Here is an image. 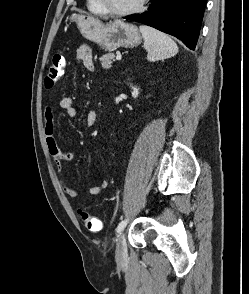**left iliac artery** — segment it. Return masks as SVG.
I'll use <instances>...</instances> for the list:
<instances>
[{
    "instance_id": "obj_1",
    "label": "left iliac artery",
    "mask_w": 249,
    "mask_h": 294,
    "mask_svg": "<svg viewBox=\"0 0 249 294\" xmlns=\"http://www.w3.org/2000/svg\"><path fill=\"white\" fill-rule=\"evenodd\" d=\"M127 222H128V219H125V220L121 221L119 223V225L117 226V228H116V232L121 233L123 231V229L125 228Z\"/></svg>"
}]
</instances>
